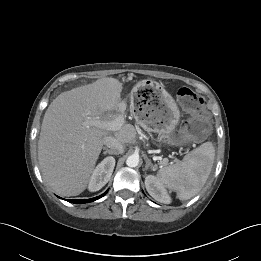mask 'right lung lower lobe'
Masks as SVG:
<instances>
[{"mask_svg":"<svg viewBox=\"0 0 261 261\" xmlns=\"http://www.w3.org/2000/svg\"><path fill=\"white\" fill-rule=\"evenodd\" d=\"M107 191H108V190H107ZM107 191H106L104 194H102V195H100V196H97V197H95V198H91V199H76V200H68V201L71 202V203H76V204H82V203L92 202V201H95V200H97V199L103 197V196L107 193Z\"/></svg>","mask_w":261,"mask_h":261,"instance_id":"1","label":"right lung lower lobe"}]
</instances>
